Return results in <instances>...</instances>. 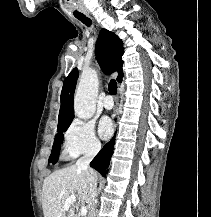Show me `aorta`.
Returning <instances> with one entry per match:
<instances>
[{
    "instance_id": "1",
    "label": "aorta",
    "mask_w": 211,
    "mask_h": 217,
    "mask_svg": "<svg viewBox=\"0 0 211 217\" xmlns=\"http://www.w3.org/2000/svg\"><path fill=\"white\" fill-rule=\"evenodd\" d=\"M98 74L94 69L83 70L74 97V111L81 119H90L96 110Z\"/></svg>"
}]
</instances>
